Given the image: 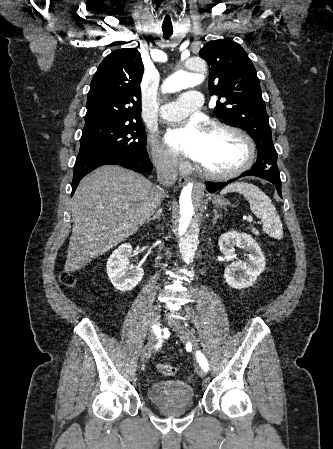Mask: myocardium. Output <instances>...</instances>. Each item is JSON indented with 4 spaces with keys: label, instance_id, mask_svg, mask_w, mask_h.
Listing matches in <instances>:
<instances>
[{
    "label": "myocardium",
    "instance_id": "1",
    "mask_svg": "<svg viewBox=\"0 0 333 449\" xmlns=\"http://www.w3.org/2000/svg\"><path fill=\"white\" fill-rule=\"evenodd\" d=\"M206 131L211 133H226L239 138L245 146L246 154L244 161L238 167L225 172H214L197 163L198 169L204 176L215 181L230 180L241 175L253 165L256 148L254 141L245 131L223 123L211 124L207 127Z\"/></svg>",
    "mask_w": 333,
    "mask_h": 449
}]
</instances>
